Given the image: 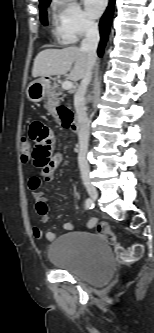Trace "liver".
Returning <instances> with one entry per match:
<instances>
[{
	"label": "liver",
	"instance_id": "6515ba94",
	"mask_svg": "<svg viewBox=\"0 0 154 333\" xmlns=\"http://www.w3.org/2000/svg\"><path fill=\"white\" fill-rule=\"evenodd\" d=\"M87 52L77 46L63 49H44L36 56L32 69V76L49 77L64 75L70 71L69 79L78 81L86 73L88 64ZM72 65H74L72 67Z\"/></svg>",
	"mask_w": 154,
	"mask_h": 333
}]
</instances>
